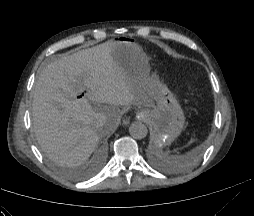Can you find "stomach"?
I'll list each match as a JSON object with an SVG mask.
<instances>
[{"label":"stomach","instance_id":"obj_1","mask_svg":"<svg viewBox=\"0 0 254 216\" xmlns=\"http://www.w3.org/2000/svg\"><path fill=\"white\" fill-rule=\"evenodd\" d=\"M114 50L116 59L129 77L150 78L147 88L156 104L138 112L137 117L152 127L155 143L161 147L171 144L180 135L185 123L176 97L164 83L150 76L149 58L138 44L121 39L116 41Z\"/></svg>","mask_w":254,"mask_h":216}]
</instances>
